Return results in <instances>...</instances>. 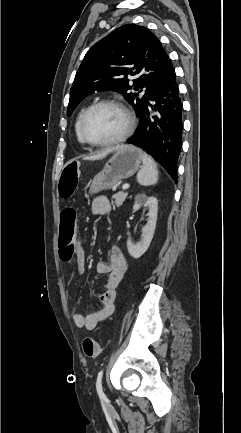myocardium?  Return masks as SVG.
Here are the masks:
<instances>
[{
  "label": "myocardium",
  "instance_id": "myocardium-1",
  "mask_svg": "<svg viewBox=\"0 0 241 433\" xmlns=\"http://www.w3.org/2000/svg\"><path fill=\"white\" fill-rule=\"evenodd\" d=\"M102 106H112V107L119 109L125 117V128L119 136H117L116 138H114L110 141L94 142V141H91L90 139H88L86 134H85V123H86V120L89 117V115L95 109L102 107ZM133 124H134V122H133L132 115L124 103H122L121 101L116 100V99H103V100H99V101L93 103L87 109H85V111L82 114L81 119H80L79 133H80L81 139L87 145H90L93 147H110V146H114V145L120 144L123 141H125L129 137V135L131 134V132L133 130Z\"/></svg>",
  "mask_w": 241,
  "mask_h": 433
}]
</instances>
